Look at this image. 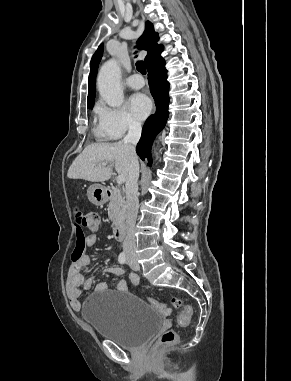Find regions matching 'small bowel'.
<instances>
[{"label":"small bowel","instance_id":"small-bowel-1","mask_svg":"<svg viewBox=\"0 0 291 381\" xmlns=\"http://www.w3.org/2000/svg\"><path fill=\"white\" fill-rule=\"evenodd\" d=\"M97 241V236L92 234L86 238L85 244L88 247H93L97 244ZM72 260L74 261V264L70 267L68 271L66 280V293L72 310L79 311L82 306L80 302V295L82 289L90 288L92 286L93 280L86 279L81 274H79L78 267L89 264L90 257L82 253L79 258L72 257ZM108 271L115 276H121L124 274V269L119 266H112L108 269ZM129 280L133 286L139 285L140 279L137 274L131 273L129 275ZM106 290H108V285L105 282H99L95 286L96 292H103ZM116 290L126 291L127 283L124 280L118 281L116 284Z\"/></svg>","mask_w":291,"mask_h":381}]
</instances>
